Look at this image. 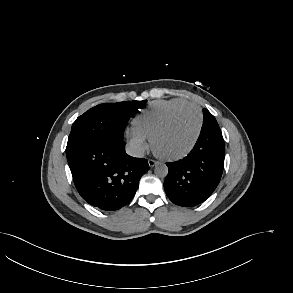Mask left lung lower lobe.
Returning a JSON list of instances; mask_svg holds the SVG:
<instances>
[{
    "mask_svg": "<svg viewBox=\"0 0 293 293\" xmlns=\"http://www.w3.org/2000/svg\"><path fill=\"white\" fill-rule=\"evenodd\" d=\"M224 140L220 128L201 131L191 152L167 163L164 189L176 205L192 207L204 202L220 182L224 165Z\"/></svg>",
    "mask_w": 293,
    "mask_h": 293,
    "instance_id": "0a47b994",
    "label": "left lung lower lobe"
}]
</instances>
